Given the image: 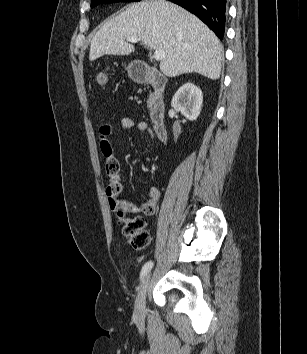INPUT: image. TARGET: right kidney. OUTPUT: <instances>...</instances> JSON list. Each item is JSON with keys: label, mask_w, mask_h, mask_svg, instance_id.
<instances>
[{"label": "right kidney", "mask_w": 307, "mask_h": 354, "mask_svg": "<svg viewBox=\"0 0 307 354\" xmlns=\"http://www.w3.org/2000/svg\"><path fill=\"white\" fill-rule=\"evenodd\" d=\"M202 103L203 94L201 89L193 83L187 82L177 90L171 105L188 120L194 121L201 112Z\"/></svg>", "instance_id": "obj_1"}]
</instances>
